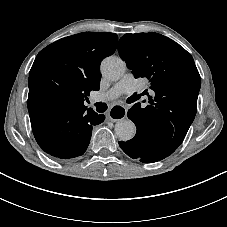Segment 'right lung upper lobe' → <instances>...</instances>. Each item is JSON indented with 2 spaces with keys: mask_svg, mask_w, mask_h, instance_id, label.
Returning a JSON list of instances; mask_svg holds the SVG:
<instances>
[{
  "mask_svg": "<svg viewBox=\"0 0 227 227\" xmlns=\"http://www.w3.org/2000/svg\"><path fill=\"white\" fill-rule=\"evenodd\" d=\"M117 43L114 33L83 32L41 50L29 73V113L41 100L59 109L86 108L84 99L99 89V65L114 53Z\"/></svg>",
  "mask_w": 227,
  "mask_h": 227,
  "instance_id": "obj_1",
  "label": "right lung upper lobe"
}]
</instances>
